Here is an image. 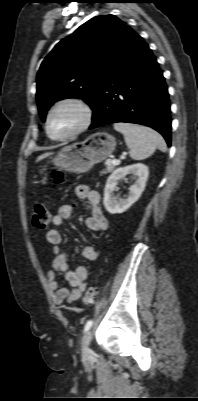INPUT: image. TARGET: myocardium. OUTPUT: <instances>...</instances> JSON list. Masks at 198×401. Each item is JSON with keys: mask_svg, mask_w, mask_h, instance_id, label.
Returning a JSON list of instances; mask_svg holds the SVG:
<instances>
[{"mask_svg": "<svg viewBox=\"0 0 198 401\" xmlns=\"http://www.w3.org/2000/svg\"><path fill=\"white\" fill-rule=\"evenodd\" d=\"M64 105H72L76 107L82 114V120L80 125L71 133L62 136V137H53L50 134L49 130V123H50V118L52 114L60 107ZM93 116H94V110L92 105L86 101L85 99L81 97H66L63 99L58 100L48 111L45 119V131L47 136L56 142H62V141H67L70 140L79 134L83 133L85 130H87L90 125L92 124L93 121Z\"/></svg>", "mask_w": 198, "mask_h": 401, "instance_id": "1", "label": "myocardium"}]
</instances>
